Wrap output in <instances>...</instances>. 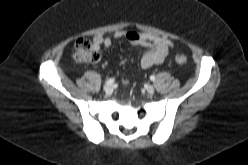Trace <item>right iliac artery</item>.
Segmentation results:
<instances>
[{
	"mask_svg": "<svg viewBox=\"0 0 248 165\" xmlns=\"http://www.w3.org/2000/svg\"><path fill=\"white\" fill-rule=\"evenodd\" d=\"M114 82V78H110L106 80V84H112Z\"/></svg>",
	"mask_w": 248,
	"mask_h": 165,
	"instance_id": "right-iliac-artery-1",
	"label": "right iliac artery"
}]
</instances>
